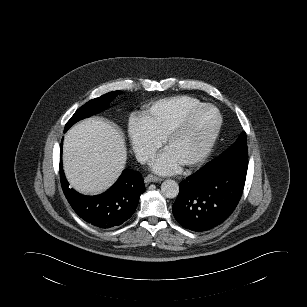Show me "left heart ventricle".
Wrapping results in <instances>:
<instances>
[{
    "label": "left heart ventricle",
    "instance_id": "left-heart-ventricle-1",
    "mask_svg": "<svg viewBox=\"0 0 307 307\" xmlns=\"http://www.w3.org/2000/svg\"><path fill=\"white\" fill-rule=\"evenodd\" d=\"M217 122L214 111L204 108L195 112L183 132L172 140L166 150L181 164L192 158L204 145Z\"/></svg>",
    "mask_w": 307,
    "mask_h": 307
}]
</instances>
